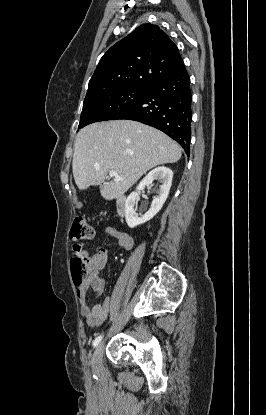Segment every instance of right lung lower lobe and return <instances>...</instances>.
I'll list each match as a JSON object with an SVG mask.
<instances>
[{
    "label": "right lung lower lobe",
    "instance_id": "obj_1",
    "mask_svg": "<svg viewBox=\"0 0 266 415\" xmlns=\"http://www.w3.org/2000/svg\"><path fill=\"white\" fill-rule=\"evenodd\" d=\"M191 105L190 77L184 68L177 75L156 82L142 100L110 120H135L155 127L176 140L189 156Z\"/></svg>",
    "mask_w": 266,
    "mask_h": 415
}]
</instances>
